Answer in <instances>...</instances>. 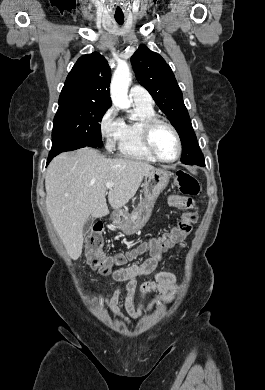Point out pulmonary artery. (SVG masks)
Here are the masks:
<instances>
[{
    "label": "pulmonary artery",
    "instance_id": "e3ab8cb5",
    "mask_svg": "<svg viewBox=\"0 0 265 390\" xmlns=\"http://www.w3.org/2000/svg\"><path fill=\"white\" fill-rule=\"evenodd\" d=\"M130 98L135 104L152 105V98L149 93L140 86H132L130 88Z\"/></svg>",
    "mask_w": 265,
    "mask_h": 390
}]
</instances>
